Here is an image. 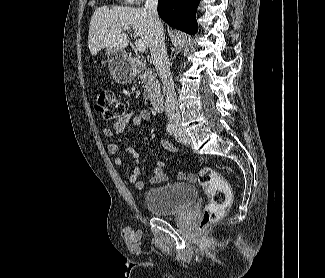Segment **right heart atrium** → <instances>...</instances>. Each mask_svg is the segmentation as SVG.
Wrapping results in <instances>:
<instances>
[{
    "mask_svg": "<svg viewBox=\"0 0 325 278\" xmlns=\"http://www.w3.org/2000/svg\"><path fill=\"white\" fill-rule=\"evenodd\" d=\"M130 3H134V4H138V3H141L143 0H126Z\"/></svg>",
    "mask_w": 325,
    "mask_h": 278,
    "instance_id": "right-heart-atrium-1",
    "label": "right heart atrium"
}]
</instances>
